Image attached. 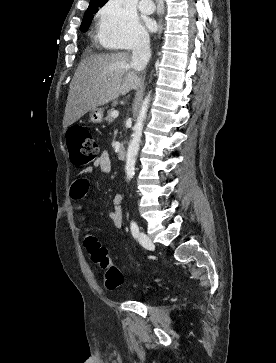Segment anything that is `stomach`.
Segmentation results:
<instances>
[{
    "mask_svg": "<svg viewBox=\"0 0 276 363\" xmlns=\"http://www.w3.org/2000/svg\"><path fill=\"white\" fill-rule=\"evenodd\" d=\"M89 118L92 123H101L103 120V110L101 108H95L90 110Z\"/></svg>",
    "mask_w": 276,
    "mask_h": 363,
    "instance_id": "stomach-1",
    "label": "stomach"
}]
</instances>
